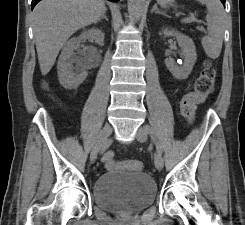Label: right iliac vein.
Wrapping results in <instances>:
<instances>
[{
    "label": "right iliac vein",
    "mask_w": 245,
    "mask_h": 225,
    "mask_svg": "<svg viewBox=\"0 0 245 225\" xmlns=\"http://www.w3.org/2000/svg\"><path fill=\"white\" fill-rule=\"evenodd\" d=\"M112 134V128L109 125H106L100 132L96 143L94 144L91 154L90 160L93 162L96 160L98 153L102 152L104 147L109 144V137Z\"/></svg>",
    "instance_id": "63e3f726"
}]
</instances>
